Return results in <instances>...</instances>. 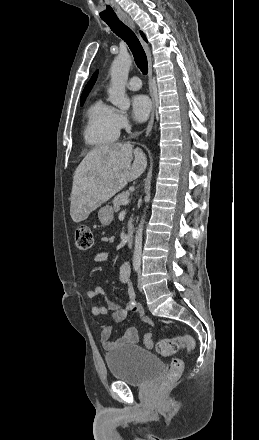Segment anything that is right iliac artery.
<instances>
[{
  "instance_id": "1",
  "label": "right iliac artery",
  "mask_w": 259,
  "mask_h": 440,
  "mask_svg": "<svg viewBox=\"0 0 259 440\" xmlns=\"http://www.w3.org/2000/svg\"><path fill=\"white\" fill-rule=\"evenodd\" d=\"M133 268H134V271H135V272H138V271H139V268H140V266H139L138 264H135Z\"/></svg>"
}]
</instances>
